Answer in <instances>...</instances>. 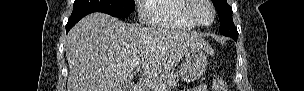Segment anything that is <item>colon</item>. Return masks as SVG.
Returning a JSON list of instances; mask_svg holds the SVG:
<instances>
[{
	"instance_id": "1",
	"label": "colon",
	"mask_w": 304,
	"mask_h": 91,
	"mask_svg": "<svg viewBox=\"0 0 304 91\" xmlns=\"http://www.w3.org/2000/svg\"><path fill=\"white\" fill-rule=\"evenodd\" d=\"M211 90L212 91H228L229 86L223 77L216 75L212 80Z\"/></svg>"
}]
</instances>
